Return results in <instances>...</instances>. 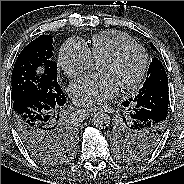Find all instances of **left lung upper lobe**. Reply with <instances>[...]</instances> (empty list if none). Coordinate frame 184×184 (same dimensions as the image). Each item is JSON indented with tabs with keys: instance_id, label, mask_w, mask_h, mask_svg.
Instances as JSON below:
<instances>
[{
	"instance_id": "1",
	"label": "left lung upper lobe",
	"mask_w": 184,
	"mask_h": 184,
	"mask_svg": "<svg viewBox=\"0 0 184 184\" xmlns=\"http://www.w3.org/2000/svg\"><path fill=\"white\" fill-rule=\"evenodd\" d=\"M151 47L157 51L153 44H151ZM162 88L168 89V77L162 63L154 57L149 66L144 85L137 95ZM131 112L132 109H129L125 117L118 118L111 129V138L116 146L117 153L123 159L129 161L139 160L148 156L158 146L156 137L149 130L135 125ZM140 145H151V150L140 153L137 151Z\"/></svg>"
}]
</instances>
